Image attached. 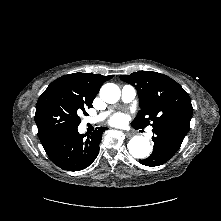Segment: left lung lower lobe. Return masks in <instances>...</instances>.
<instances>
[{
	"instance_id": "0a47b994",
	"label": "left lung lower lobe",
	"mask_w": 221,
	"mask_h": 221,
	"mask_svg": "<svg viewBox=\"0 0 221 221\" xmlns=\"http://www.w3.org/2000/svg\"><path fill=\"white\" fill-rule=\"evenodd\" d=\"M152 132L154 134L152 138L154 142L153 152L148 158L139 160L145 166H159L170 160L179 150L187 134L178 129L166 127L153 128Z\"/></svg>"
}]
</instances>
